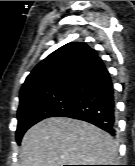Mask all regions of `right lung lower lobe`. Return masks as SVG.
I'll list each match as a JSON object with an SVG mask.
<instances>
[{"mask_svg": "<svg viewBox=\"0 0 135 166\" xmlns=\"http://www.w3.org/2000/svg\"><path fill=\"white\" fill-rule=\"evenodd\" d=\"M70 87L73 94L70 104L54 116L83 120L114 136L116 134L114 88L105 65L76 80Z\"/></svg>", "mask_w": 135, "mask_h": 166, "instance_id": "obj_1", "label": "right lung lower lobe"}]
</instances>
